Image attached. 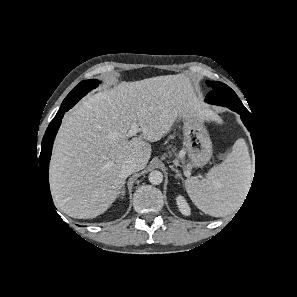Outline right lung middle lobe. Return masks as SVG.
<instances>
[{
    "mask_svg": "<svg viewBox=\"0 0 297 297\" xmlns=\"http://www.w3.org/2000/svg\"><path fill=\"white\" fill-rule=\"evenodd\" d=\"M99 81L95 79L81 81L63 100L59 111L69 110L90 90L96 88Z\"/></svg>",
    "mask_w": 297,
    "mask_h": 297,
    "instance_id": "right-lung-middle-lobe-1",
    "label": "right lung middle lobe"
}]
</instances>
